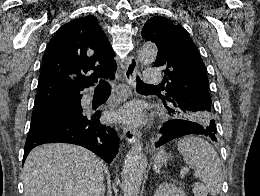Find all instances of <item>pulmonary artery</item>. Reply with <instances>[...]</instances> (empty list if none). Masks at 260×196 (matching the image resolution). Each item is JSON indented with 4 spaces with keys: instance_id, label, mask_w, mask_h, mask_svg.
I'll use <instances>...</instances> for the list:
<instances>
[{
    "instance_id": "e3ab8cb5",
    "label": "pulmonary artery",
    "mask_w": 260,
    "mask_h": 196,
    "mask_svg": "<svg viewBox=\"0 0 260 196\" xmlns=\"http://www.w3.org/2000/svg\"><path fill=\"white\" fill-rule=\"evenodd\" d=\"M144 84H159L162 73L158 69H145Z\"/></svg>"
}]
</instances>
